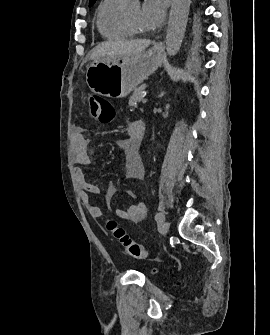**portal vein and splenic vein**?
<instances>
[{
  "label": "portal vein and splenic vein",
  "instance_id": "1",
  "mask_svg": "<svg viewBox=\"0 0 270 335\" xmlns=\"http://www.w3.org/2000/svg\"><path fill=\"white\" fill-rule=\"evenodd\" d=\"M144 96H146V94H143V96H142V103H145L146 101H148V98H144Z\"/></svg>",
  "mask_w": 270,
  "mask_h": 335
}]
</instances>
